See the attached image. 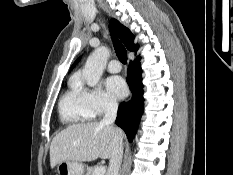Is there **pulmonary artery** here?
<instances>
[{
  "mask_svg": "<svg viewBox=\"0 0 233 175\" xmlns=\"http://www.w3.org/2000/svg\"><path fill=\"white\" fill-rule=\"evenodd\" d=\"M107 69L111 73H118L121 71V63L118 60L113 59L108 63Z\"/></svg>",
  "mask_w": 233,
  "mask_h": 175,
  "instance_id": "e3ab8cb5",
  "label": "pulmonary artery"
}]
</instances>
